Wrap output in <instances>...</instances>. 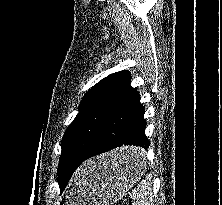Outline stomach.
Instances as JSON below:
<instances>
[{"mask_svg":"<svg viewBox=\"0 0 222 205\" xmlns=\"http://www.w3.org/2000/svg\"><path fill=\"white\" fill-rule=\"evenodd\" d=\"M123 147L87 161L75 174L66 194L67 205H111L120 200L146 171L145 158L135 164L121 165L116 158Z\"/></svg>","mask_w":222,"mask_h":205,"instance_id":"stomach-1","label":"stomach"}]
</instances>
